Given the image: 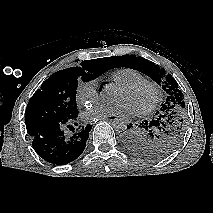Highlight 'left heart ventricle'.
I'll return each mask as SVG.
<instances>
[{
  "label": "left heart ventricle",
  "mask_w": 213,
  "mask_h": 213,
  "mask_svg": "<svg viewBox=\"0 0 213 213\" xmlns=\"http://www.w3.org/2000/svg\"><path fill=\"white\" fill-rule=\"evenodd\" d=\"M153 94L149 87L142 86L133 91L119 88L115 100L128 103L133 110H140L147 107L152 102Z\"/></svg>",
  "instance_id": "b2bd125f"
}]
</instances>
